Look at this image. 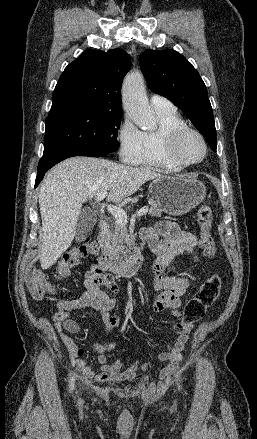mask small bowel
Listing matches in <instances>:
<instances>
[{
	"label": "small bowel",
	"mask_w": 257,
	"mask_h": 439,
	"mask_svg": "<svg viewBox=\"0 0 257 439\" xmlns=\"http://www.w3.org/2000/svg\"><path fill=\"white\" fill-rule=\"evenodd\" d=\"M160 236L164 239L160 240ZM140 237L143 243L148 245L156 255V259L151 266L152 284L157 292L152 303V310L154 313L170 311L173 316L178 317L181 315L179 311L181 299L186 293L191 280L176 276H163V272L173 259L180 255H187L194 261H198V257L194 252L198 239L193 233L183 231L177 224L168 221H160L153 227L143 229ZM84 285L86 290L81 297L58 300V310L52 317L57 329L68 333H78L80 325L71 316V312L85 308H93L101 313L107 333L118 329L120 319L113 313L116 304L113 295L118 290L115 279L94 265L85 273ZM102 287H105V289ZM191 329L192 325L188 326L185 334L179 335L174 343H169L167 349L157 355L160 361L166 362L163 369L164 375L171 374L180 363L182 352L189 340L188 333ZM62 342L70 358L82 373L91 380L99 382L132 381L142 371L148 369L147 363L141 364L139 361L130 365L121 359L110 361L106 354L115 348V343L104 341L103 343H95L91 347L99 366V371H96L83 357V348L75 344L66 335H62Z\"/></svg>",
	"instance_id": "c3829d8e"
}]
</instances>
